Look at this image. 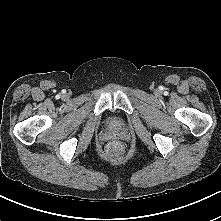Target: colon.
Listing matches in <instances>:
<instances>
[{"label": "colon", "instance_id": "obj_1", "mask_svg": "<svg viewBox=\"0 0 221 221\" xmlns=\"http://www.w3.org/2000/svg\"><path fill=\"white\" fill-rule=\"evenodd\" d=\"M109 154L114 156H120L124 153V146L120 141H112L107 146Z\"/></svg>", "mask_w": 221, "mask_h": 221}]
</instances>
